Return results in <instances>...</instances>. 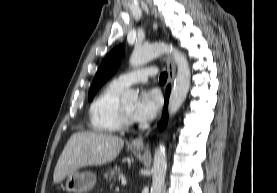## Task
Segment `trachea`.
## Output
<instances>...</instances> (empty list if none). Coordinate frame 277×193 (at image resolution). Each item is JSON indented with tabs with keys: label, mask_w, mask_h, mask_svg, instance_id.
<instances>
[{
	"label": "trachea",
	"mask_w": 277,
	"mask_h": 193,
	"mask_svg": "<svg viewBox=\"0 0 277 193\" xmlns=\"http://www.w3.org/2000/svg\"><path fill=\"white\" fill-rule=\"evenodd\" d=\"M166 80H167V73L164 72V73H162V74L160 75L159 81H160L161 83H165Z\"/></svg>",
	"instance_id": "1"
}]
</instances>
